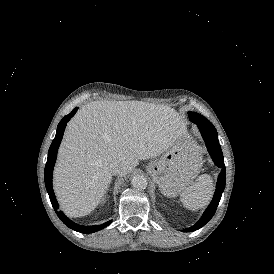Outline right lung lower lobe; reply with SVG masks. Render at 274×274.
Instances as JSON below:
<instances>
[{
    "instance_id": "98d812e1",
    "label": "right lung lower lobe",
    "mask_w": 274,
    "mask_h": 274,
    "mask_svg": "<svg viewBox=\"0 0 274 274\" xmlns=\"http://www.w3.org/2000/svg\"><path fill=\"white\" fill-rule=\"evenodd\" d=\"M77 107L72 110V112L65 117L62 118L60 123L58 124L57 127V132L56 136L50 146V149L48 151V158H47V163L45 166V185L47 192L49 194L50 201L52 203V206L58 215V217L63 221L64 224H66L69 228L81 232V233H93L97 232L98 230L103 229L104 227L108 226L112 221H108L102 225H97V226H82L78 225L74 222H72L70 219H68L61 211H58V203L56 201L53 189H52V173H53V167L56 161V156H57V151L58 147L60 145V142L63 137V133L66 127V123L70 120V118L76 113Z\"/></svg>"
}]
</instances>
